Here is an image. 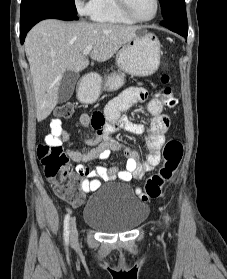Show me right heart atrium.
<instances>
[{
  "mask_svg": "<svg viewBox=\"0 0 227 279\" xmlns=\"http://www.w3.org/2000/svg\"><path fill=\"white\" fill-rule=\"evenodd\" d=\"M76 7L84 14L91 15L99 0H74Z\"/></svg>",
  "mask_w": 227,
  "mask_h": 279,
  "instance_id": "d8ad5b80",
  "label": "right heart atrium"
}]
</instances>
